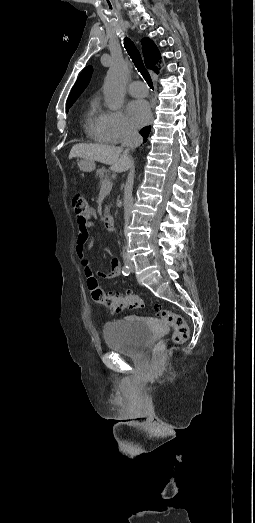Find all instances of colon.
<instances>
[{"mask_svg":"<svg viewBox=\"0 0 255 523\" xmlns=\"http://www.w3.org/2000/svg\"><path fill=\"white\" fill-rule=\"evenodd\" d=\"M72 206L77 215L82 216L88 211V203L82 195H74L72 197ZM88 288L92 299L105 306L112 312H117L123 309H142L144 307L143 301L135 294L131 293H105L98 286L97 280L94 277H89ZM155 310L165 324L173 328L172 340L175 343H184L189 336V328L184 318L173 311L162 309L156 305ZM164 343L159 342L156 346V352L163 349Z\"/></svg>","mask_w":255,"mask_h":523,"instance_id":"1","label":"colon"}]
</instances>
